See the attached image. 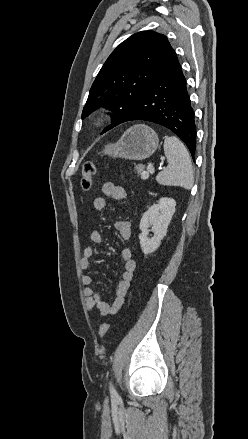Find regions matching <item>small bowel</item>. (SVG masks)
I'll return each instance as SVG.
<instances>
[{"label":"small bowel","instance_id":"1","mask_svg":"<svg viewBox=\"0 0 248 439\" xmlns=\"http://www.w3.org/2000/svg\"><path fill=\"white\" fill-rule=\"evenodd\" d=\"M102 196H98L93 201V207L96 211H102L107 205V199L111 198L117 201H122L126 198L127 193L125 188L106 182L101 186ZM115 228L119 236L123 240H128L131 237V223L127 220L121 219L116 221ZM90 241L93 244H101L103 242V234L100 230L94 229L90 234ZM94 255L92 246H87L83 251V256L80 260V267L82 270H88L91 265V258ZM120 256L124 262V270L121 279L116 287L115 299L111 304L101 300L100 296L92 288L93 278L84 274L81 278L84 285V296L86 299L87 309L90 311L97 310L102 316L115 315L124 305L125 296L130 287L133 278V273L136 268V262L132 257L130 248H123Z\"/></svg>","mask_w":248,"mask_h":439}]
</instances>
